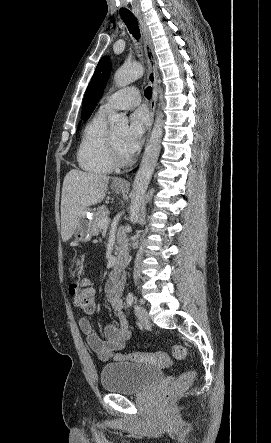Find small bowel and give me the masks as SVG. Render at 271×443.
<instances>
[{"label":"small bowel","mask_w":271,"mask_h":443,"mask_svg":"<svg viewBox=\"0 0 271 443\" xmlns=\"http://www.w3.org/2000/svg\"><path fill=\"white\" fill-rule=\"evenodd\" d=\"M123 285V277L117 275L112 276L106 285L107 300L116 315L118 324L106 325L103 330L104 338L94 331L89 319L82 318L79 321V327L86 336L89 348L100 360H108L115 352L122 350L130 337L131 327L125 316L122 302Z\"/></svg>","instance_id":"c3829d8e"}]
</instances>
